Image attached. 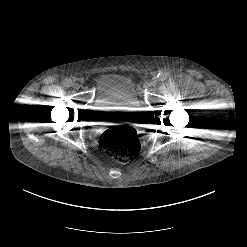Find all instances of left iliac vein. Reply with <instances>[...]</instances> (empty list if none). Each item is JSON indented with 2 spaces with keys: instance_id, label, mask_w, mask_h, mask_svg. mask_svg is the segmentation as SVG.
<instances>
[{
  "instance_id": "4c4485c4",
  "label": "left iliac vein",
  "mask_w": 247,
  "mask_h": 247,
  "mask_svg": "<svg viewBox=\"0 0 247 247\" xmlns=\"http://www.w3.org/2000/svg\"><path fill=\"white\" fill-rule=\"evenodd\" d=\"M156 84H157V79L156 78H153L150 82H149V86L151 87H154V86H156Z\"/></svg>"
}]
</instances>
